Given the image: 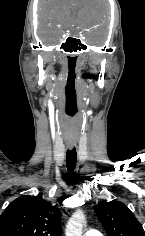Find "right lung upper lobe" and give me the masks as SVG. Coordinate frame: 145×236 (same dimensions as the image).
<instances>
[{"mask_svg":"<svg viewBox=\"0 0 145 236\" xmlns=\"http://www.w3.org/2000/svg\"><path fill=\"white\" fill-rule=\"evenodd\" d=\"M61 212L35 196H21L0 216V236H60Z\"/></svg>","mask_w":145,"mask_h":236,"instance_id":"obj_1","label":"right lung upper lobe"}]
</instances>
